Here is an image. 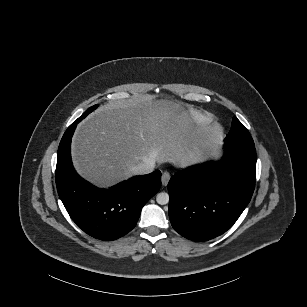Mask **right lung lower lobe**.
I'll return each instance as SVG.
<instances>
[{"label": "right lung lower lobe", "mask_w": 307, "mask_h": 307, "mask_svg": "<svg viewBox=\"0 0 307 307\" xmlns=\"http://www.w3.org/2000/svg\"><path fill=\"white\" fill-rule=\"evenodd\" d=\"M73 122L58 148L56 186L72 220L90 236L110 241L131 231L142 207L160 189L161 172L135 176L109 189H99L82 179L71 161V139L77 124Z\"/></svg>", "instance_id": "right-lung-lower-lobe-1"}]
</instances>
